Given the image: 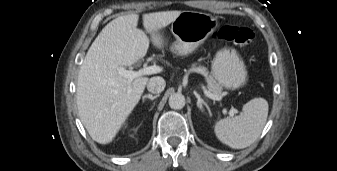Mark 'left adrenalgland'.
<instances>
[{
	"mask_svg": "<svg viewBox=\"0 0 337 171\" xmlns=\"http://www.w3.org/2000/svg\"><path fill=\"white\" fill-rule=\"evenodd\" d=\"M194 95L196 96L197 100V107L203 111V105L207 108V110L209 111V107L207 105V103L200 97V95L194 91Z\"/></svg>",
	"mask_w": 337,
	"mask_h": 171,
	"instance_id": "obj_1",
	"label": "left adrenal gland"
}]
</instances>
